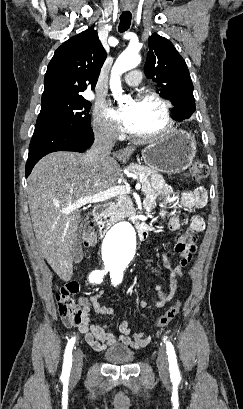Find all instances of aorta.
I'll return each mask as SVG.
<instances>
[{"instance_id":"1","label":"aorta","mask_w":243,"mask_h":409,"mask_svg":"<svg viewBox=\"0 0 243 409\" xmlns=\"http://www.w3.org/2000/svg\"><path fill=\"white\" fill-rule=\"evenodd\" d=\"M141 58L137 52L126 50L116 60L113 65L110 77V88L115 94L119 103L127 101V97L122 96L120 76L140 63ZM136 233L132 223L120 222L114 225L105 235L102 251L109 262L116 261L129 256L134 248Z\"/></svg>"}]
</instances>
